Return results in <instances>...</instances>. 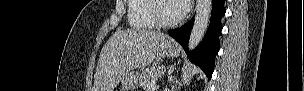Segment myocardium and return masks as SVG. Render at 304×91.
<instances>
[{
    "label": "myocardium",
    "instance_id": "f54148a6",
    "mask_svg": "<svg viewBox=\"0 0 304 91\" xmlns=\"http://www.w3.org/2000/svg\"><path fill=\"white\" fill-rule=\"evenodd\" d=\"M162 1H174V0H151L149 12L156 26L160 28H170L179 25L184 20L186 12L181 14V16L175 20L166 21L162 19L159 15V4Z\"/></svg>",
    "mask_w": 304,
    "mask_h": 91
}]
</instances>
